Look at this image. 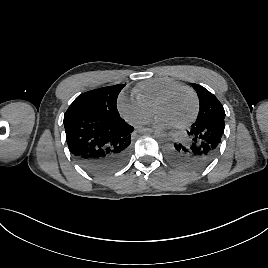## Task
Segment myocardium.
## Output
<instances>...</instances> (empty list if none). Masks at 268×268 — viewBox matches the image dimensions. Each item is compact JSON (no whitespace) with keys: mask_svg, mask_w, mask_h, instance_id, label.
Listing matches in <instances>:
<instances>
[{"mask_svg":"<svg viewBox=\"0 0 268 268\" xmlns=\"http://www.w3.org/2000/svg\"><path fill=\"white\" fill-rule=\"evenodd\" d=\"M181 90H185L187 92L190 93V95L193 98L194 101V110L192 115L183 123L175 125L174 128L176 129H184L186 127H188L189 125H191L195 119L198 116L199 113V109H200V102H199V98L198 95L196 94V92L187 85H177L175 87H172L171 89H169L168 91H166L155 103L153 110H154V114L157 116V110L159 108V106L164 103L165 101H167L170 97H172L174 94H176L177 92L181 91Z\"/></svg>","mask_w":268,"mask_h":268,"instance_id":"obj_1","label":"myocardium"}]
</instances>
